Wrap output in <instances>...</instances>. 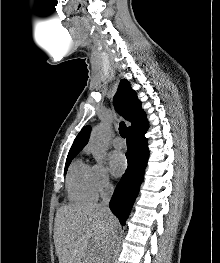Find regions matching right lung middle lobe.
Here are the masks:
<instances>
[{
    "instance_id": "dd1d6c3e",
    "label": "right lung middle lobe",
    "mask_w": 220,
    "mask_h": 263,
    "mask_svg": "<svg viewBox=\"0 0 220 263\" xmlns=\"http://www.w3.org/2000/svg\"><path fill=\"white\" fill-rule=\"evenodd\" d=\"M75 156L76 155H69L67 157L66 164H65V172L67 171V168H68L69 164L71 163V161L74 159Z\"/></svg>"
}]
</instances>
